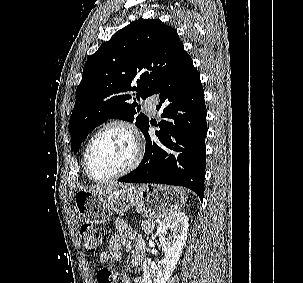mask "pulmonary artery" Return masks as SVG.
<instances>
[{
	"mask_svg": "<svg viewBox=\"0 0 303 283\" xmlns=\"http://www.w3.org/2000/svg\"><path fill=\"white\" fill-rule=\"evenodd\" d=\"M143 104H144V107L148 108L150 110V112H152L153 114H155L157 112L156 98L154 96L151 95V96L146 97Z\"/></svg>",
	"mask_w": 303,
	"mask_h": 283,
	"instance_id": "obj_1",
	"label": "pulmonary artery"
}]
</instances>
